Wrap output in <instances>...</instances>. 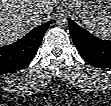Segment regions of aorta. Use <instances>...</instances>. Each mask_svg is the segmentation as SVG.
<instances>
[{
  "instance_id": "762f6f07",
  "label": "aorta",
  "mask_w": 111,
  "mask_h": 106,
  "mask_svg": "<svg viewBox=\"0 0 111 106\" xmlns=\"http://www.w3.org/2000/svg\"><path fill=\"white\" fill-rule=\"evenodd\" d=\"M56 24L59 27H66V26H68V20L66 17H59L56 21Z\"/></svg>"
}]
</instances>
